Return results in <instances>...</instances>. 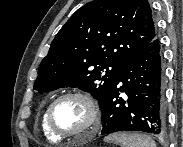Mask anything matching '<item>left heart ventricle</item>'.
<instances>
[{
    "label": "left heart ventricle",
    "instance_id": "left-heart-ventricle-1",
    "mask_svg": "<svg viewBox=\"0 0 183 147\" xmlns=\"http://www.w3.org/2000/svg\"><path fill=\"white\" fill-rule=\"evenodd\" d=\"M52 118L58 130L73 132L86 126L89 121V109L78 98H66L55 106Z\"/></svg>",
    "mask_w": 183,
    "mask_h": 147
}]
</instances>
